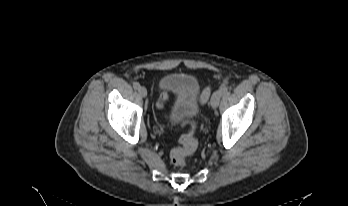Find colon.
Instances as JSON below:
<instances>
[{
	"mask_svg": "<svg viewBox=\"0 0 348 206\" xmlns=\"http://www.w3.org/2000/svg\"><path fill=\"white\" fill-rule=\"evenodd\" d=\"M210 94V89H206L203 93V100H207ZM196 128L192 127L191 131L180 138L181 146L175 148L170 153V162L176 167H183L186 163V158L191 155L197 148L195 138Z\"/></svg>",
	"mask_w": 348,
	"mask_h": 206,
	"instance_id": "colon-1",
	"label": "colon"
}]
</instances>
